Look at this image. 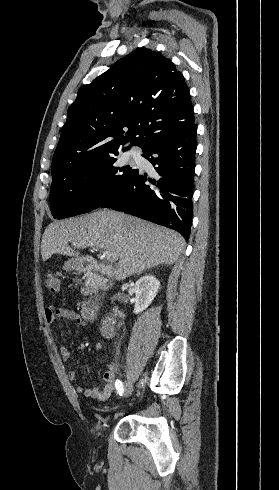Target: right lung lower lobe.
I'll return each mask as SVG.
<instances>
[{
	"mask_svg": "<svg viewBox=\"0 0 279 490\" xmlns=\"http://www.w3.org/2000/svg\"><path fill=\"white\" fill-rule=\"evenodd\" d=\"M197 125L148 147L143 157L156 165L159 179L147 174L128 180L100 207L112 208L178 231L189 240Z\"/></svg>",
	"mask_w": 279,
	"mask_h": 490,
	"instance_id": "1",
	"label": "right lung lower lobe"
}]
</instances>
